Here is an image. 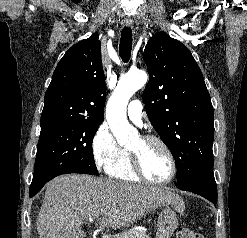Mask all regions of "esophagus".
Wrapping results in <instances>:
<instances>
[{"mask_svg":"<svg viewBox=\"0 0 247 238\" xmlns=\"http://www.w3.org/2000/svg\"><path fill=\"white\" fill-rule=\"evenodd\" d=\"M125 25H126L127 27H133L134 22H133V20H131V19H127V20H125Z\"/></svg>","mask_w":247,"mask_h":238,"instance_id":"obj_1","label":"esophagus"}]
</instances>
